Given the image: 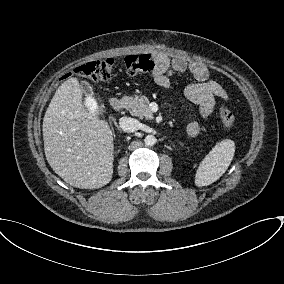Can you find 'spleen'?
<instances>
[{
	"label": "spleen",
	"mask_w": 284,
	"mask_h": 284,
	"mask_svg": "<svg viewBox=\"0 0 284 284\" xmlns=\"http://www.w3.org/2000/svg\"><path fill=\"white\" fill-rule=\"evenodd\" d=\"M234 152L235 144L232 140L218 142L200 163L195 175V184L202 187L217 181L228 169Z\"/></svg>",
	"instance_id": "obj_1"
}]
</instances>
